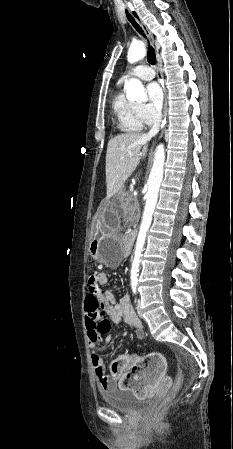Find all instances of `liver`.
I'll use <instances>...</instances> for the list:
<instances>
[{
    "mask_svg": "<svg viewBox=\"0 0 233 449\" xmlns=\"http://www.w3.org/2000/svg\"><path fill=\"white\" fill-rule=\"evenodd\" d=\"M151 137L144 133H125L112 138L106 152V199L110 200L146 156ZM142 149V151H141Z\"/></svg>",
    "mask_w": 233,
    "mask_h": 449,
    "instance_id": "obj_1",
    "label": "liver"
}]
</instances>
